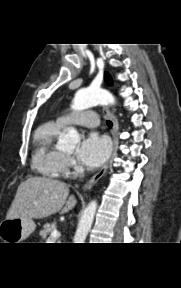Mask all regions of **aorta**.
<instances>
[{
	"mask_svg": "<svg viewBox=\"0 0 181 288\" xmlns=\"http://www.w3.org/2000/svg\"><path fill=\"white\" fill-rule=\"evenodd\" d=\"M111 94L103 89L87 88L77 91L72 103V109L84 110L97 104H114ZM80 142L76 129L70 128L60 140L62 149H73ZM97 209V202L91 201L83 211L74 235V243H85L86 237L92 227Z\"/></svg>",
	"mask_w": 181,
	"mask_h": 288,
	"instance_id": "aorta-1",
	"label": "aorta"
}]
</instances>
